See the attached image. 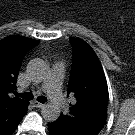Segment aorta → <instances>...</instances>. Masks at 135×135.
Returning a JSON list of instances; mask_svg holds the SVG:
<instances>
[{"label": "aorta", "mask_w": 135, "mask_h": 135, "mask_svg": "<svg viewBox=\"0 0 135 135\" xmlns=\"http://www.w3.org/2000/svg\"><path fill=\"white\" fill-rule=\"evenodd\" d=\"M27 70L33 79L42 80L48 73V66L41 59H33L29 62ZM41 114L46 121L54 122L60 116V109L57 105L49 103L43 107Z\"/></svg>", "instance_id": "762f6f07"}]
</instances>
